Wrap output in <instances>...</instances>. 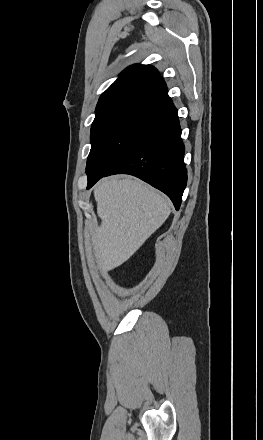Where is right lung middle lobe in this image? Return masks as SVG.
<instances>
[{
	"instance_id": "obj_1",
	"label": "right lung middle lobe",
	"mask_w": 263,
	"mask_h": 440,
	"mask_svg": "<svg viewBox=\"0 0 263 440\" xmlns=\"http://www.w3.org/2000/svg\"><path fill=\"white\" fill-rule=\"evenodd\" d=\"M158 111L159 106H138L114 108L96 115L86 165L88 180L104 175Z\"/></svg>"
}]
</instances>
